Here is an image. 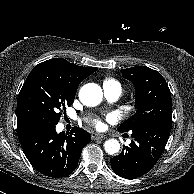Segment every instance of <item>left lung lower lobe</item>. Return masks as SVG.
Segmentation results:
<instances>
[{
    "label": "left lung lower lobe",
    "mask_w": 194,
    "mask_h": 194,
    "mask_svg": "<svg viewBox=\"0 0 194 194\" xmlns=\"http://www.w3.org/2000/svg\"><path fill=\"white\" fill-rule=\"evenodd\" d=\"M172 120L143 122L135 125L131 144L111 159L113 171L120 177L134 179L146 174L159 160L167 144Z\"/></svg>",
    "instance_id": "0a47b994"
}]
</instances>
